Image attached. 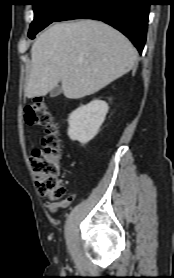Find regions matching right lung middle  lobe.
Instances as JSON below:
<instances>
[{
	"label": "right lung middle lobe",
	"mask_w": 174,
	"mask_h": 278,
	"mask_svg": "<svg viewBox=\"0 0 174 278\" xmlns=\"http://www.w3.org/2000/svg\"><path fill=\"white\" fill-rule=\"evenodd\" d=\"M74 1L75 0H31L35 17L30 25L28 36L34 39L39 31L55 21Z\"/></svg>",
	"instance_id": "right-lung-middle-lobe-1"
}]
</instances>
